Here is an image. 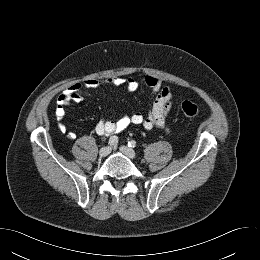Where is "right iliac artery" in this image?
I'll use <instances>...</instances> for the list:
<instances>
[{
  "mask_svg": "<svg viewBox=\"0 0 260 260\" xmlns=\"http://www.w3.org/2000/svg\"><path fill=\"white\" fill-rule=\"evenodd\" d=\"M117 143H118V137H116V136L110 137L109 142H108L109 145L115 146V145H117Z\"/></svg>",
  "mask_w": 260,
  "mask_h": 260,
  "instance_id": "right-iliac-artery-1",
  "label": "right iliac artery"
}]
</instances>
